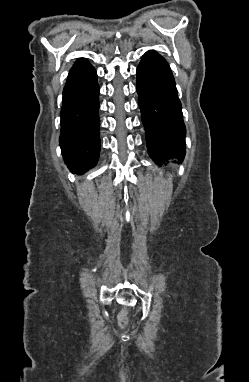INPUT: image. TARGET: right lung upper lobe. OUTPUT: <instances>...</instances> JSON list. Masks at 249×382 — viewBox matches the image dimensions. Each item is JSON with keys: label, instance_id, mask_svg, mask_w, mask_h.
Returning <instances> with one entry per match:
<instances>
[{"label": "right lung upper lobe", "instance_id": "1", "mask_svg": "<svg viewBox=\"0 0 249 382\" xmlns=\"http://www.w3.org/2000/svg\"><path fill=\"white\" fill-rule=\"evenodd\" d=\"M84 61V59L83 58H81V59H78L77 61H76V63L73 65V67L72 68H74L75 66H77L78 64H80L81 62H83Z\"/></svg>", "mask_w": 249, "mask_h": 382}]
</instances>
